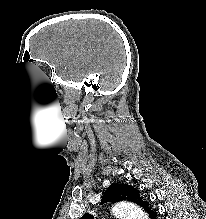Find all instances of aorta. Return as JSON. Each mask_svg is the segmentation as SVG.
<instances>
[{
  "mask_svg": "<svg viewBox=\"0 0 206 219\" xmlns=\"http://www.w3.org/2000/svg\"><path fill=\"white\" fill-rule=\"evenodd\" d=\"M112 212L120 219H149L139 206L125 201L116 203L112 208Z\"/></svg>",
  "mask_w": 206,
  "mask_h": 219,
  "instance_id": "aorta-1",
  "label": "aorta"
}]
</instances>
